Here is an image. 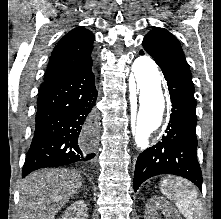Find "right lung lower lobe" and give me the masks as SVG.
<instances>
[{
  "label": "right lung lower lobe",
  "mask_w": 221,
  "mask_h": 219,
  "mask_svg": "<svg viewBox=\"0 0 221 219\" xmlns=\"http://www.w3.org/2000/svg\"><path fill=\"white\" fill-rule=\"evenodd\" d=\"M96 97L92 61L41 84L23 177L40 168L74 165L94 158V141L90 138L94 136Z\"/></svg>",
  "instance_id": "1"
}]
</instances>
